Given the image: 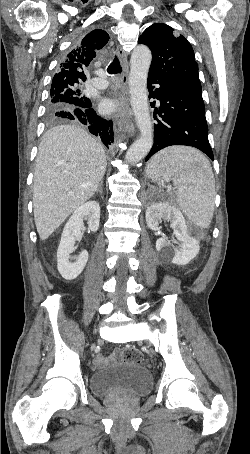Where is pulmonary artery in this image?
<instances>
[{
    "instance_id": "1",
    "label": "pulmonary artery",
    "mask_w": 250,
    "mask_h": 454,
    "mask_svg": "<svg viewBox=\"0 0 250 454\" xmlns=\"http://www.w3.org/2000/svg\"><path fill=\"white\" fill-rule=\"evenodd\" d=\"M91 83L98 89H105L108 86V82L103 77H95L91 80Z\"/></svg>"
}]
</instances>
